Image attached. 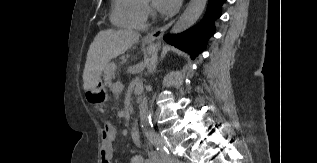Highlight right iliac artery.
<instances>
[{
    "label": "right iliac artery",
    "instance_id": "obj_1",
    "mask_svg": "<svg viewBox=\"0 0 317 163\" xmlns=\"http://www.w3.org/2000/svg\"><path fill=\"white\" fill-rule=\"evenodd\" d=\"M163 163H170L169 152H163L162 154Z\"/></svg>",
    "mask_w": 317,
    "mask_h": 163
}]
</instances>
